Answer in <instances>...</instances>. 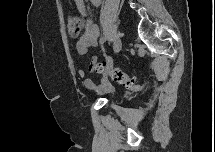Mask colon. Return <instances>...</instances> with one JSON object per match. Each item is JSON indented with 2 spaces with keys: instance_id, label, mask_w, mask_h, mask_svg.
I'll use <instances>...</instances> for the list:
<instances>
[{
  "instance_id": "obj_1",
  "label": "colon",
  "mask_w": 215,
  "mask_h": 152,
  "mask_svg": "<svg viewBox=\"0 0 215 152\" xmlns=\"http://www.w3.org/2000/svg\"><path fill=\"white\" fill-rule=\"evenodd\" d=\"M66 25L69 34L72 37H77L82 30L83 22L78 16L69 15L66 20ZM89 71L109 76L113 81L124 85L125 88L131 92H138L143 88L142 85L138 84L135 79L128 76L121 69L114 68L105 61L91 62L89 66Z\"/></svg>"
}]
</instances>
